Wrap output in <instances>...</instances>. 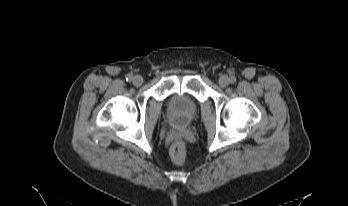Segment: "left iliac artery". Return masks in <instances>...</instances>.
Returning <instances> with one entry per match:
<instances>
[{"label":"left iliac artery","mask_w":348,"mask_h":206,"mask_svg":"<svg viewBox=\"0 0 348 206\" xmlns=\"http://www.w3.org/2000/svg\"><path fill=\"white\" fill-rule=\"evenodd\" d=\"M229 82L230 83H235L236 82V78L234 76H231L230 79H229Z\"/></svg>","instance_id":"left-iliac-artery-1"}]
</instances>
